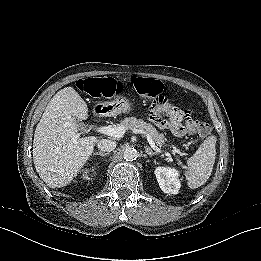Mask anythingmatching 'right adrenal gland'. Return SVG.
Returning <instances> with one entry per match:
<instances>
[{
    "label": "right adrenal gland",
    "instance_id": "2a0ac1e0",
    "mask_svg": "<svg viewBox=\"0 0 261 261\" xmlns=\"http://www.w3.org/2000/svg\"><path fill=\"white\" fill-rule=\"evenodd\" d=\"M94 155L106 156L107 153H105V152H103V151H99V152L93 153V156H94Z\"/></svg>",
    "mask_w": 261,
    "mask_h": 261
}]
</instances>
